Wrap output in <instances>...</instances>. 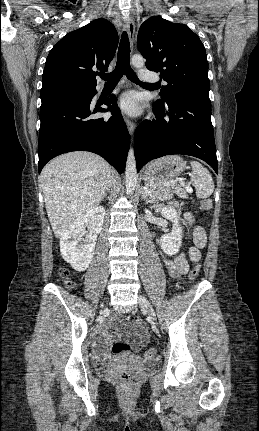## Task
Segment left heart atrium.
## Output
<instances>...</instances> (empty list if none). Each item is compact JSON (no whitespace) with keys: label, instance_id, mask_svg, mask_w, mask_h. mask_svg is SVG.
Listing matches in <instances>:
<instances>
[{"label":"left heart atrium","instance_id":"1","mask_svg":"<svg viewBox=\"0 0 259 431\" xmlns=\"http://www.w3.org/2000/svg\"><path fill=\"white\" fill-rule=\"evenodd\" d=\"M118 107L121 111L129 115H137L140 113V105L137 96L132 91L126 92L120 97Z\"/></svg>","mask_w":259,"mask_h":431}]
</instances>
